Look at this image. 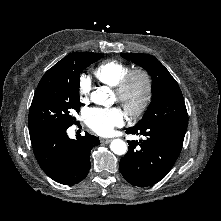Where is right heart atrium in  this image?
I'll return each mask as SVG.
<instances>
[{
    "label": "right heart atrium",
    "mask_w": 221,
    "mask_h": 221,
    "mask_svg": "<svg viewBox=\"0 0 221 221\" xmlns=\"http://www.w3.org/2000/svg\"><path fill=\"white\" fill-rule=\"evenodd\" d=\"M92 84L91 80L87 76H81L79 79V85H78V90H79V95L80 98L83 102H87L90 96Z\"/></svg>",
    "instance_id": "right-heart-atrium-1"
}]
</instances>
